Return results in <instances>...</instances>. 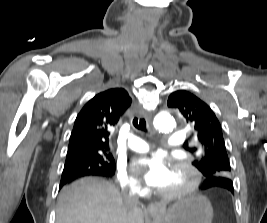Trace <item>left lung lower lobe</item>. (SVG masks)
<instances>
[{
	"mask_svg": "<svg viewBox=\"0 0 267 223\" xmlns=\"http://www.w3.org/2000/svg\"><path fill=\"white\" fill-rule=\"evenodd\" d=\"M205 178H215L209 180L198 188L199 192H216V195H233V183L226 179V173H205Z\"/></svg>",
	"mask_w": 267,
	"mask_h": 223,
	"instance_id": "0a47b994",
	"label": "left lung lower lobe"
}]
</instances>
